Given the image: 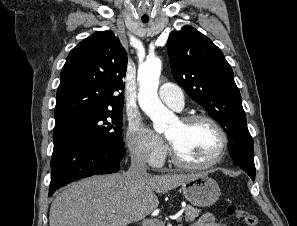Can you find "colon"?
<instances>
[{
    "label": "colon",
    "mask_w": 297,
    "mask_h": 226,
    "mask_svg": "<svg viewBox=\"0 0 297 226\" xmlns=\"http://www.w3.org/2000/svg\"><path fill=\"white\" fill-rule=\"evenodd\" d=\"M228 213L230 215L237 216L238 219L247 226H255L258 222L255 214L243 210H238L237 207L234 205H230L228 207Z\"/></svg>",
    "instance_id": "obj_1"
}]
</instances>
